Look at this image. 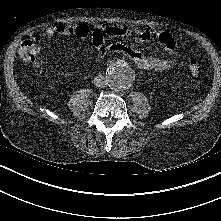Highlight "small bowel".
I'll return each instance as SVG.
<instances>
[{
  "label": "small bowel",
  "instance_id": "obj_1",
  "mask_svg": "<svg viewBox=\"0 0 221 221\" xmlns=\"http://www.w3.org/2000/svg\"><path fill=\"white\" fill-rule=\"evenodd\" d=\"M42 35L48 38L62 35L90 39L96 50L98 60H102L108 52L118 53L129 58L138 68L144 70L163 71L172 68L176 64L175 59L163 58L154 54H144L121 42L106 43V38H133L138 42L158 43L169 54H176L178 50L177 44L174 38L165 32L133 30L123 25L92 30L82 24L59 23L47 27ZM34 39L38 44L41 42V36H35Z\"/></svg>",
  "mask_w": 221,
  "mask_h": 221
}]
</instances>
